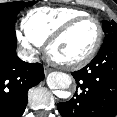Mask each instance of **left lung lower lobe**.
<instances>
[{"label": "left lung lower lobe", "instance_id": "left-lung-lower-lobe-1", "mask_svg": "<svg viewBox=\"0 0 117 117\" xmlns=\"http://www.w3.org/2000/svg\"><path fill=\"white\" fill-rule=\"evenodd\" d=\"M72 75L77 91L70 101L57 105L63 117L116 116L117 33L105 39L96 57Z\"/></svg>", "mask_w": 117, "mask_h": 117}]
</instances>
